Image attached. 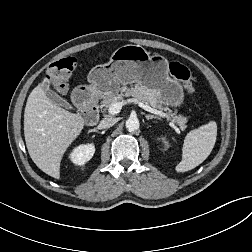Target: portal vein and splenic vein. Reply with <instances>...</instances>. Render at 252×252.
Returning <instances> with one entry per match:
<instances>
[{
  "mask_svg": "<svg viewBox=\"0 0 252 252\" xmlns=\"http://www.w3.org/2000/svg\"><path fill=\"white\" fill-rule=\"evenodd\" d=\"M129 103L137 104L140 108L144 109L147 112L156 114V115L161 116L163 118H167L168 120H171L172 122L174 121L173 119H171V117L168 114H166L160 110H157L155 108H152V107L142 103L138 99H134V98H129V99L123 100L121 102H116V103L111 104V106L108 109V112L111 115H116L121 111L122 106L129 104Z\"/></svg>",
  "mask_w": 252,
  "mask_h": 252,
  "instance_id": "1",
  "label": "portal vein and splenic vein"
}]
</instances>
